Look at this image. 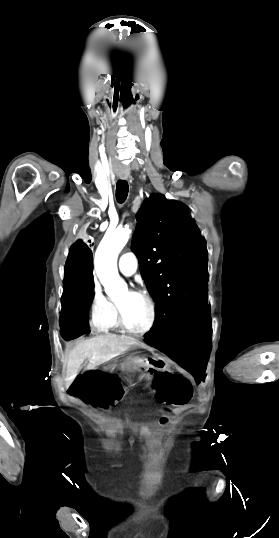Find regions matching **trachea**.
Instances as JSON below:
<instances>
[{
  "label": "trachea",
  "instance_id": "trachea-1",
  "mask_svg": "<svg viewBox=\"0 0 279 538\" xmlns=\"http://www.w3.org/2000/svg\"><path fill=\"white\" fill-rule=\"evenodd\" d=\"M129 186L126 180H118L116 184V199L118 203H124L128 196Z\"/></svg>",
  "mask_w": 279,
  "mask_h": 538
}]
</instances>
